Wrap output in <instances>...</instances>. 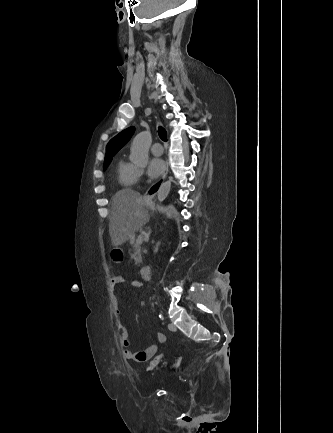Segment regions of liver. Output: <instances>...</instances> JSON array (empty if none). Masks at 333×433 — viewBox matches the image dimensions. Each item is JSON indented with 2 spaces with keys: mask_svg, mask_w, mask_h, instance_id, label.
Segmentation results:
<instances>
[{
  "mask_svg": "<svg viewBox=\"0 0 333 433\" xmlns=\"http://www.w3.org/2000/svg\"><path fill=\"white\" fill-rule=\"evenodd\" d=\"M149 220L143 197L138 192L126 188L115 193L109 223L112 245L116 247L127 242Z\"/></svg>",
  "mask_w": 333,
  "mask_h": 433,
  "instance_id": "6515ba94",
  "label": "liver"
}]
</instances>
